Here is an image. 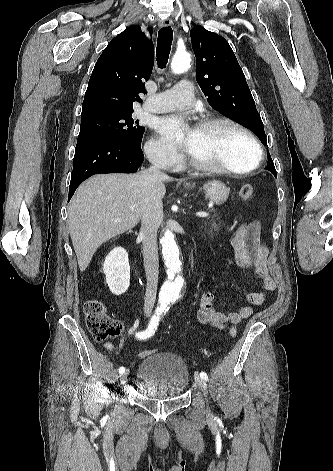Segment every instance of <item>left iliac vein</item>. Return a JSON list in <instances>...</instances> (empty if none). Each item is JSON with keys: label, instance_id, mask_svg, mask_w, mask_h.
Listing matches in <instances>:
<instances>
[{"label": "left iliac vein", "instance_id": "obj_1", "mask_svg": "<svg viewBox=\"0 0 333 471\" xmlns=\"http://www.w3.org/2000/svg\"><path fill=\"white\" fill-rule=\"evenodd\" d=\"M194 378H195L196 384H197V385L199 386V388L202 390V392H203V394H204V396H205V398H206V397H207V385H206V382H205L200 376H198L197 374H195ZM207 411H209L208 408H207Z\"/></svg>", "mask_w": 333, "mask_h": 471}]
</instances>
